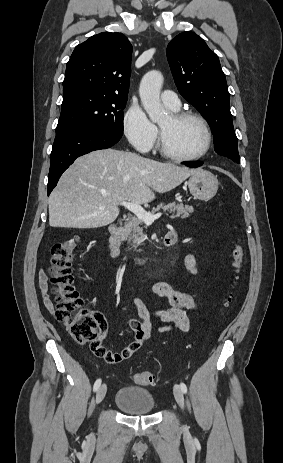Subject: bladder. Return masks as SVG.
Wrapping results in <instances>:
<instances>
[{"label": "bladder", "instance_id": "1", "mask_svg": "<svg viewBox=\"0 0 283 463\" xmlns=\"http://www.w3.org/2000/svg\"><path fill=\"white\" fill-rule=\"evenodd\" d=\"M115 405L124 413L130 415H143L154 412L156 401L152 393L142 387H121L114 398Z\"/></svg>", "mask_w": 283, "mask_h": 463}]
</instances>
